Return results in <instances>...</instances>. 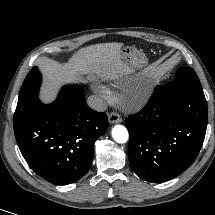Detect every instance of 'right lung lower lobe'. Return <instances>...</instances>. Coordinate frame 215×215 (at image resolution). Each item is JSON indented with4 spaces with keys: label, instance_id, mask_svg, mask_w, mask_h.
<instances>
[{
    "label": "right lung lower lobe",
    "instance_id": "98d812e1",
    "mask_svg": "<svg viewBox=\"0 0 215 215\" xmlns=\"http://www.w3.org/2000/svg\"><path fill=\"white\" fill-rule=\"evenodd\" d=\"M107 127L106 114L85 104L83 89L64 86L52 104L38 99L14 132L33 171L53 184L66 185L87 173L94 143Z\"/></svg>",
    "mask_w": 215,
    "mask_h": 215
}]
</instances>
